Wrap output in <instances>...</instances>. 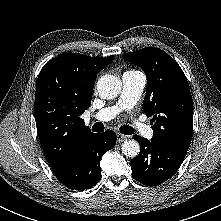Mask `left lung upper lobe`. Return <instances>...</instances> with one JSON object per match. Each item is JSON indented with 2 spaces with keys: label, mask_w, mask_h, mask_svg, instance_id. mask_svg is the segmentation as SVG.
<instances>
[{
  "label": "left lung upper lobe",
  "mask_w": 221,
  "mask_h": 221,
  "mask_svg": "<svg viewBox=\"0 0 221 221\" xmlns=\"http://www.w3.org/2000/svg\"><path fill=\"white\" fill-rule=\"evenodd\" d=\"M147 76L143 110L152 117V140L188 151L193 130V103L186 76L176 61L155 47L125 53Z\"/></svg>",
  "instance_id": "1"
}]
</instances>
